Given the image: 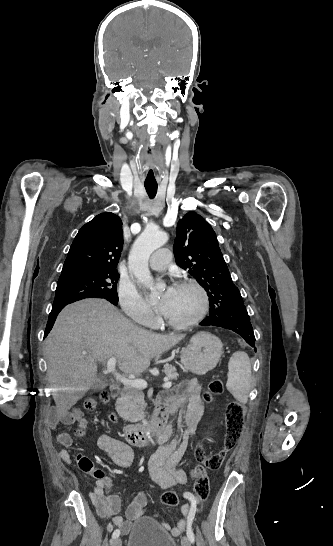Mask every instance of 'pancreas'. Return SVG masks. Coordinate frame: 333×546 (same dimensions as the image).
I'll return each instance as SVG.
<instances>
[{"instance_id": "cf45deb5", "label": "pancreas", "mask_w": 333, "mask_h": 546, "mask_svg": "<svg viewBox=\"0 0 333 546\" xmlns=\"http://www.w3.org/2000/svg\"><path fill=\"white\" fill-rule=\"evenodd\" d=\"M164 373L171 380H177L179 376L176 368L169 364L164 365ZM117 403L119 404L118 413L124 420L137 422L143 415L145 408L143 390L141 388L125 386Z\"/></svg>"}]
</instances>
